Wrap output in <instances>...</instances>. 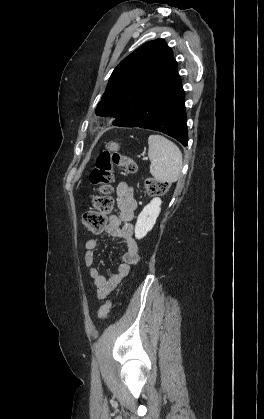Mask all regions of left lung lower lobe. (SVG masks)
<instances>
[{"label": "left lung lower lobe", "instance_id": "left-lung-lower-lobe-1", "mask_svg": "<svg viewBox=\"0 0 264 419\" xmlns=\"http://www.w3.org/2000/svg\"><path fill=\"white\" fill-rule=\"evenodd\" d=\"M112 124L159 131L186 146L188 136L184 91L179 75L145 91L142 98L123 115L117 116Z\"/></svg>", "mask_w": 264, "mask_h": 419}]
</instances>
